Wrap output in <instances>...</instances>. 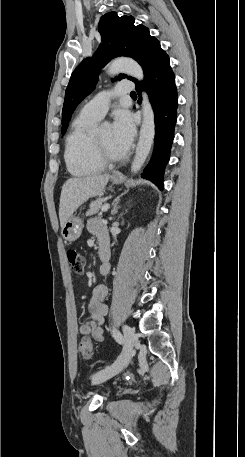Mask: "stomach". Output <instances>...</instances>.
<instances>
[{
    "label": "stomach",
    "instance_id": "obj_1",
    "mask_svg": "<svg viewBox=\"0 0 245 457\" xmlns=\"http://www.w3.org/2000/svg\"><path fill=\"white\" fill-rule=\"evenodd\" d=\"M113 184H120L121 180H112ZM83 229V224L79 216H69L68 220L62 224L61 235L65 241L72 243L79 239Z\"/></svg>",
    "mask_w": 245,
    "mask_h": 457
}]
</instances>
